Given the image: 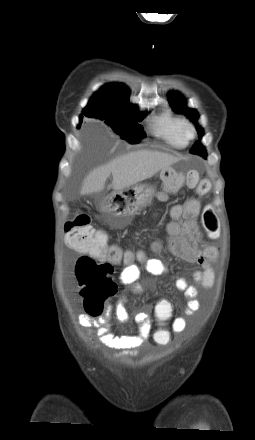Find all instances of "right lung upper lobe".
I'll return each instance as SVG.
<instances>
[{"label":"right lung upper lobe","instance_id":"1","mask_svg":"<svg viewBox=\"0 0 255 440\" xmlns=\"http://www.w3.org/2000/svg\"><path fill=\"white\" fill-rule=\"evenodd\" d=\"M129 89L124 84L110 83L101 87L90 99L109 106L130 105ZM81 117V116H80Z\"/></svg>","mask_w":255,"mask_h":440}]
</instances>
